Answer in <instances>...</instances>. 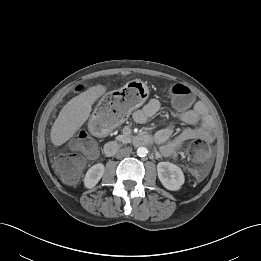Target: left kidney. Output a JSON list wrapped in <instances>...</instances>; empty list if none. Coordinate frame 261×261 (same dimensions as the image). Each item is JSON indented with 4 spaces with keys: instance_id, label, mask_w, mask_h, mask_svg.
<instances>
[{
    "instance_id": "1",
    "label": "left kidney",
    "mask_w": 261,
    "mask_h": 261,
    "mask_svg": "<svg viewBox=\"0 0 261 261\" xmlns=\"http://www.w3.org/2000/svg\"><path fill=\"white\" fill-rule=\"evenodd\" d=\"M157 173L162 185L170 191H177L184 184V174L181 168L175 164L159 162L157 164Z\"/></svg>"
}]
</instances>
